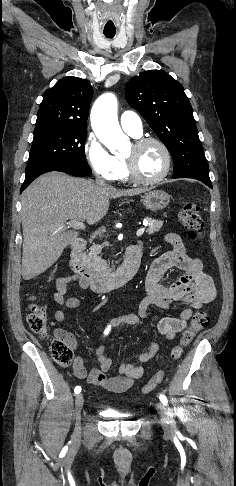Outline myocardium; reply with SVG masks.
Returning a JSON list of instances; mask_svg holds the SVG:
<instances>
[{
  "label": "myocardium",
  "mask_w": 236,
  "mask_h": 486,
  "mask_svg": "<svg viewBox=\"0 0 236 486\" xmlns=\"http://www.w3.org/2000/svg\"><path fill=\"white\" fill-rule=\"evenodd\" d=\"M156 144L160 147V149L163 152L164 159H165V165L164 169L161 172V174L155 178L152 179H145L141 177L136 169V165L133 159L131 158H124L125 164H126V169L128 173V177L131 181L141 184V185H155L163 181L169 174L172 166V156L169 148L167 145L160 139L155 138V137H143V138H138L135 140L133 143V146L138 149L141 148L147 144Z\"/></svg>",
  "instance_id": "obj_1"
}]
</instances>
